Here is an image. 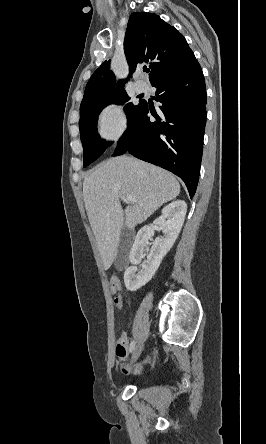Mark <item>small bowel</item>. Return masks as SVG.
<instances>
[{
	"mask_svg": "<svg viewBox=\"0 0 266 444\" xmlns=\"http://www.w3.org/2000/svg\"><path fill=\"white\" fill-rule=\"evenodd\" d=\"M111 286H112V289L114 292H118L121 290V283H120L119 279H117V278H112ZM128 342H129V339H128L127 334H125V333H123L118 339L117 346H116V353H117L118 357L121 359L126 358Z\"/></svg>",
	"mask_w": 266,
	"mask_h": 444,
	"instance_id": "c3829d8e",
	"label": "small bowel"
}]
</instances>
